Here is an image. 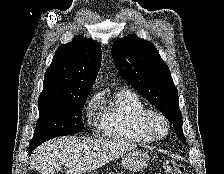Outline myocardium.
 Instances as JSON below:
<instances>
[{
    "label": "myocardium",
    "instance_id": "obj_1",
    "mask_svg": "<svg viewBox=\"0 0 224 174\" xmlns=\"http://www.w3.org/2000/svg\"><path fill=\"white\" fill-rule=\"evenodd\" d=\"M153 119H159L164 124V131L162 133H158L153 129ZM139 123L142 131L153 140L166 137L170 130V124L167 117L161 112L155 110H146L141 115Z\"/></svg>",
    "mask_w": 224,
    "mask_h": 174
}]
</instances>
